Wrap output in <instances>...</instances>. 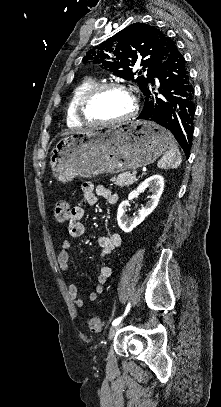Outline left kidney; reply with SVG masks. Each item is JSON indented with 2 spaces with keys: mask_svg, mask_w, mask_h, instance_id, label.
I'll return each instance as SVG.
<instances>
[{
  "mask_svg": "<svg viewBox=\"0 0 221 407\" xmlns=\"http://www.w3.org/2000/svg\"><path fill=\"white\" fill-rule=\"evenodd\" d=\"M147 188H149L150 192H152L150 200L147 202L144 208L139 210L137 216L129 218L126 215L127 207L129 206V200L139 195V193L144 192V190H146ZM163 189H164V178L161 175H153L147 178L141 184H139V186L128 195V200L123 201L118 207L117 221L119 227L124 232L128 233L131 232L140 223H142L143 220L149 214H151L158 205Z\"/></svg>",
  "mask_w": 221,
  "mask_h": 407,
  "instance_id": "5707ae66",
  "label": "left kidney"
}]
</instances>
